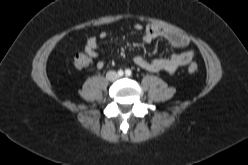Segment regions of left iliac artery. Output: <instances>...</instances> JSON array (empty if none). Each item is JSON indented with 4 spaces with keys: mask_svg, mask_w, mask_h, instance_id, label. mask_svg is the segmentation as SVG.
I'll return each instance as SVG.
<instances>
[{
    "mask_svg": "<svg viewBox=\"0 0 248 165\" xmlns=\"http://www.w3.org/2000/svg\"><path fill=\"white\" fill-rule=\"evenodd\" d=\"M125 74H126V76H131L132 72H131L130 69H127V70L125 71Z\"/></svg>",
    "mask_w": 248,
    "mask_h": 165,
    "instance_id": "44dca946",
    "label": "left iliac artery"
}]
</instances>
